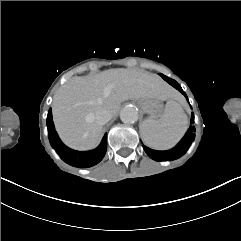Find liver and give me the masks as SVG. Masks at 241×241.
Listing matches in <instances>:
<instances>
[{
  "label": "liver",
  "mask_w": 241,
  "mask_h": 241,
  "mask_svg": "<svg viewBox=\"0 0 241 241\" xmlns=\"http://www.w3.org/2000/svg\"><path fill=\"white\" fill-rule=\"evenodd\" d=\"M171 99L168 84L157 74L129 69H112L95 75L75 76L53 97L52 110L61 140L76 150H88L99 143L102 126L85 117L104 109L116 116L128 99Z\"/></svg>",
  "instance_id": "1"
}]
</instances>
